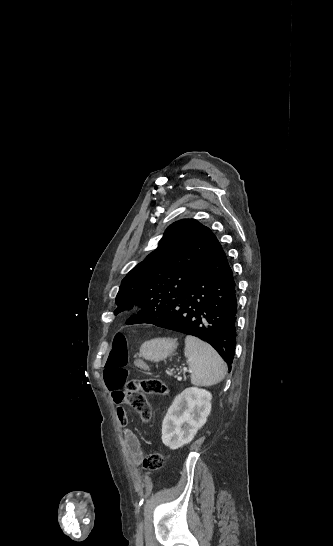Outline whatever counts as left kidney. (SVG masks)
I'll list each match as a JSON object with an SVG mask.
<instances>
[{"label":"left kidney","instance_id":"5707ae66","mask_svg":"<svg viewBox=\"0 0 333 546\" xmlns=\"http://www.w3.org/2000/svg\"><path fill=\"white\" fill-rule=\"evenodd\" d=\"M210 392L191 387L176 396L162 423V442L172 450L192 441L211 412Z\"/></svg>","mask_w":333,"mask_h":546}]
</instances>
